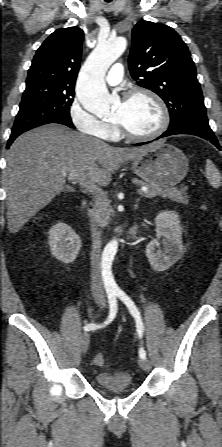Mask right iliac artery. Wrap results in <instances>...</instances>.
Listing matches in <instances>:
<instances>
[{
    "instance_id": "obj_1",
    "label": "right iliac artery",
    "mask_w": 222,
    "mask_h": 447,
    "mask_svg": "<svg viewBox=\"0 0 222 447\" xmlns=\"http://www.w3.org/2000/svg\"><path fill=\"white\" fill-rule=\"evenodd\" d=\"M108 302H109V307H110L108 320L103 325H97L94 323L87 324L84 326L85 331H90V330H95L97 328H101V327L105 326L106 324L110 323L115 318L116 313H117V300H116L115 293H112V292L108 293Z\"/></svg>"
}]
</instances>
